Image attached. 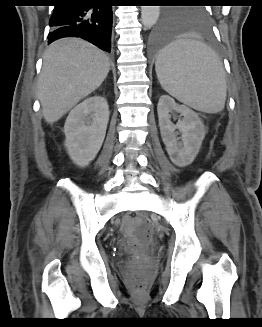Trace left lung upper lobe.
<instances>
[{
  "mask_svg": "<svg viewBox=\"0 0 262 327\" xmlns=\"http://www.w3.org/2000/svg\"><path fill=\"white\" fill-rule=\"evenodd\" d=\"M183 3H201L202 0H180ZM163 21L168 25H195L202 28L209 26L208 12L203 6H192L182 9H168L164 12Z\"/></svg>",
  "mask_w": 262,
  "mask_h": 327,
  "instance_id": "5c2ea615",
  "label": "left lung upper lobe"
}]
</instances>
